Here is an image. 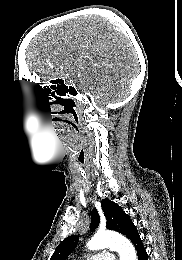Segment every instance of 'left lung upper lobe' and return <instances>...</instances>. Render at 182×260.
<instances>
[{"mask_svg": "<svg viewBox=\"0 0 182 260\" xmlns=\"http://www.w3.org/2000/svg\"><path fill=\"white\" fill-rule=\"evenodd\" d=\"M103 213L107 220V228L115 230L125 236L132 230L135 225L130 217L122 210V208L109 199H103L101 202ZM100 222L98 211L93 209L91 212V231L95 230ZM79 238L75 235L67 237L63 240L54 251L50 260H66L71 252L75 249Z\"/></svg>", "mask_w": 182, "mask_h": 260, "instance_id": "left-lung-upper-lobe-1", "label": "left lung upper lobe"}]
</instances>
